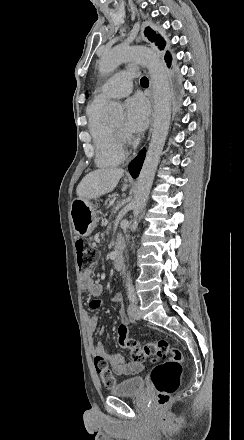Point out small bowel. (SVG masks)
Wrapping results in <instances>:
<instances>
[{"label": "small bowel", "instance_id": "small-bowel-1", "mask_svg": "<svg viewBox=\"0 0 244 440\" xmlns=\"http://www.w3.org/2000/svg\"><path fill=\"white\" fill-rule=\"evenodd\" d=\"M81 287L93 297H100L103 293V287L101 284L93 280V271L91 269L83 270L80 274ZM113 301L117 304H121L123 299L120 294H115L113 296ZM100 305V300L96 299L91 301L90 307L97 308ZM122 322H127L125 316L122 317ZM98 326L97 316H87L86 317V330L90 338L89 349L91 354L94 353H105L106 361L111 366L113 372L119 376H134L143 371V363H133V361L126 360L123 356L111 352H107L104 344L102 342L94 343L91 339L93 333L96 331ZM130 332V327H129ZM103 333V329H100V334Z\"/></svg>", "mask_w": 244, "mask_h": 440}]
</instances>
